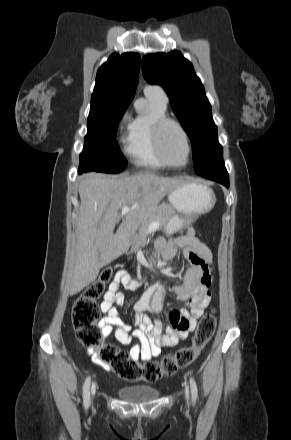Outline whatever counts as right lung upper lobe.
<instances>
[{"label": "right lung upper lobe", "mask_w": 291, "mask_h": 440, "mask_svg": "<svg viewBox=\"0 0 291 440\" xmlns=\"http://www.w3.org/2000/svg\"><path fill=\"white\" fill-rule=\"evenodd\" d=\"M140 69L138 53L112 54L99 68L91 106L129 105L134 98Z\"/></svg>", "instance_id": "obj_1"}]
</instances>
